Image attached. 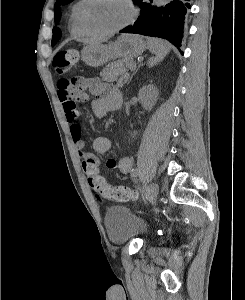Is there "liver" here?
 <instances>
[{"mask_svg":"<svg viewBox=\"0 0 245 300\" xmlns=\"http://www.w3.org/2000/svg\"><path fill=\"white\" fill-rule=\"evenodd\" d=\"M100 42H98V41H89V44L90 45H95V44H99Z\"/></svg>","mask_w":245,"mask_h":300,"instance_id":"liver-1","label":"liver"}]
</instances>
